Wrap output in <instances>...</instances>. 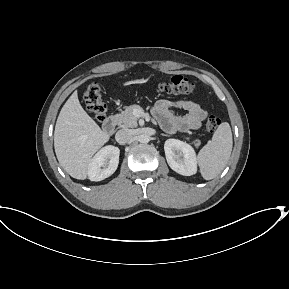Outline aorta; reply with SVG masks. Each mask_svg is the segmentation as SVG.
Segmentation results:
<instances>
[{"mask_svg":"<svg viewBox=\"0 0 289 289\" xmlns=\"http://www.w3.org/2000/svg\"><path fill=\"white\" fill-rule=\"evenodd\" d=\"M149 141H150V136H149V135H147V134H141V135L139 136V142H140V143L146 144V143H148Z\"/></svg>","mask_w":289,"mask_h":289,"instance_id":"1","label":"aorta"}]
</instances>
